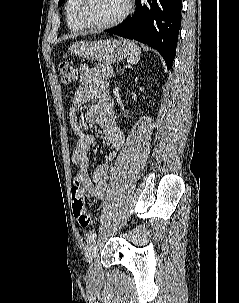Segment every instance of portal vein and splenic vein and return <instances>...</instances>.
Instances as JSON below:
<instances>
[{
  "instance_id": "portal-vein-and-splenic-vein-1",
  "label": "portal vein and splenic vein",
  "mask_w": 239,
  "mask_h": 303,
  "mask_svg": "<svg viewBox=\"0 0 239 303\" xmlns=\"http://www.w3.org/2000/svg\"><path fill=\"white\" fill-rule=\"evenodd\" d=\"M109 71L113 72V68H110V70H109Z\"/></svg>"
}]
</instances>
